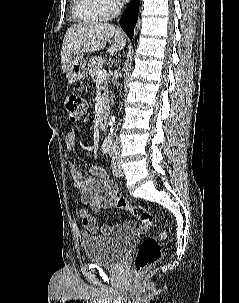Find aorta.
I'll return each mask as SVG.
<instances>
[{
  "label": "aorta",
  "mask_w": 239,
  "mask_h": 303,
  "mask_svg": "<svg viewBox=\"0 0 239 303\" xmlns=\"http://www.w3.org/2000/svg\"><path fill=\"white\" fill-rule=\"evenodd\" d=\"M115 123H116V118H115V116H112L111 119H110V123H109L110 124V132L108 134V139H111L112 136H113Z\"/></svg>",
  "instance_id": "762f6f07"
}]
</instances>
